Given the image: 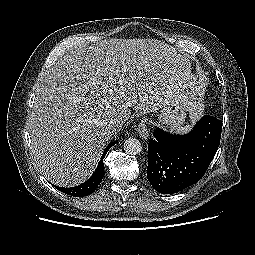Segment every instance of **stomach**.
Returning <instances> with one entry per match:
<instances>
[{
    "label": "stomach",
    "instance_id": "1",
    "mask_svg": "<svg viewBox=\"0 0 255 255\" xmlns=\"http://www.w3.org/2000/svg\"><path fill=\"white\" fill-rule=\"evenodd\" d=\"M185 111L186 110L180 101H172L161 110V113L159 114V122L172 129L179 128L185 121Z\"/></svg>",
    "mask_w": 255,
    "mask_h": 255
}]
</instances>
